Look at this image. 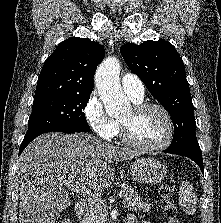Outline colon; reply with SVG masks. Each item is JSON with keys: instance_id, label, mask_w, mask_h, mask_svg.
<instances>
[{"instance_id": "1", "label": "colon", "mask_w": 221, "mask_h": 223, "mask_svg": "<svg viewBox=\"0 0 221 223\" xmlns=\"http://www.w3.org/2000/svg\"><path fill=\"white\" fill-rule=\"evenodd\" d=\"M160 196L163 201V213L167 223H180L178 219V209L172 201V189L168 185H164L160 189ZM57 223H72L70 218L64 217L58 220Z\"/></svg>"}]
</instances>
